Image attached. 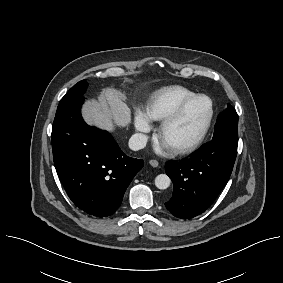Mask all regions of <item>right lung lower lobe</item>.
<instances>
[{
	"label": "right lung lower lobe",
	"mask_w": 283,
	"mask_h": 283,
	"mask_svg": "<svg viewBox=\"0 0 283 283\" xmlns=\"http://www.w3.org/2000/svg\"><path fill=\"white\" fill-rule=\"evenodd\" d=\"M83 101L82 95L57 108L51 134L54 164L72 202L106 217L121 205L144 162L125 155L108 132L88 126L81 116Z\"/></svg>",
	"instance_id": "1"
}]
</instances>
